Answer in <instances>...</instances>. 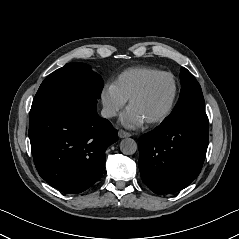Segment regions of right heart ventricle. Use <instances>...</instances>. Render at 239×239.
<instances>
[{"label":"right heart ventricle","mask_w":239,"mask_h":239,"mask_svg":"<svg viewBox=\"0 0 239 239\" xmlns=\"http://www.w3.org/2000/svg\"><path fill=\"white\" fill-rule=\"evenodd\" d=\"M158 72L160 71L157 69L144 66L128 68L117 76L114 86L127 100L149 77Z\"/></svg>","instance_id":"1"}]
</instances>
